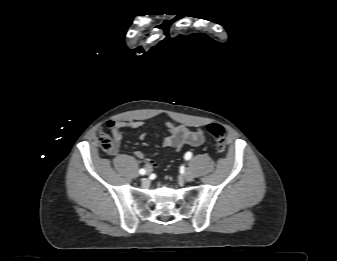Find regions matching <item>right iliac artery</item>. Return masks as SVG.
<instances>
[{
    "label": "right iliac artery",
    "instance_id": "82829eb1",
    "mask_svg": "<svg viewBox=\"0 0 337 261\" xmlns=\"http://www.w3.org/2000/svg\"><path fill=\"white\" fill-rule=\"evenodd\" d=\"M139 173H140L141 175H144V174H146V170L142 168V169L139 170Z\"/></svg>",
    "mask_w": 337,
    "mask_h": 261
}]
</instances>
